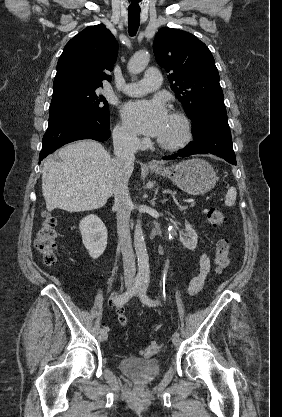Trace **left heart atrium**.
<instances>
[{"label":"left heart atrium","mask_w":282,"mask_h":417,"mask_svg":"<svg viewBox=\"0 0 282 417\" xmlns=\"http://www.w3.org/2000/svg\"><path fill=\"white\" fill-rule=\"evenodd\" d=\"M125 124L133 131L158 136L163 130L167 115L161 102L141 101L123 107Z\"/></svg>","instance_id":"39dd6f15"}]
</instances>
